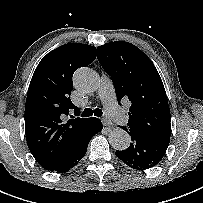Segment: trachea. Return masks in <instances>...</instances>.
<instances>
[{
    "label": "trachea",
    "mask_w": 203,
    "mask_h": 203,
    "mask_svg": "<svg viewBox=\"0 0 203 203\" xmlns=\"http://www.w3.org/2000/svg\"><path fill=\"white\" fill-rule=\"evenodd\" d=\"M97 116V117H101L103 115V112L101 109L99 108H96L94 110L90 109V108H86L82 114H81V117H89V116Z\"/></svg>",
    "instance_id": "trachea-1"
}]
</instances>
